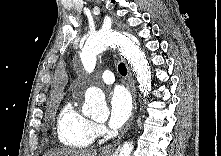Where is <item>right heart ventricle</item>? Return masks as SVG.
Listing matches in <instances>:
<instances>
[{
	"instance_id": "1",
	"label": "right heart ventricle",
	"mask_w": 221,
	"mask_h": 156,
	"mask_svg": "<svg viewBox=\"0 0 221 156\" xmlns=\"http://www.w3.org/2000/svg\"><path fill=\"white\" fill-rule=\"evenodd\" d=\"M93 122L80 113L72 101L67 102L57 118V136L69 148H85L94 140Z\"/></svg>"
}]
</instances>
